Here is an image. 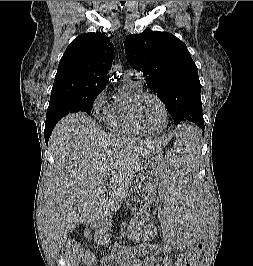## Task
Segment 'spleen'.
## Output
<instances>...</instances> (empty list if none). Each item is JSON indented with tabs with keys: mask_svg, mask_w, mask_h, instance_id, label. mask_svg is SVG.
<instances>
[{
	"mask_svg": "<svg viewBox=\"0 0 253 266\" xmlns=\"http://www.w3.org/2000/svg\"><path fill=\"white\" fill-rule=\"evenodd\" d=\"M170 153L160 160L161 184L155 193L165 199L161 210L160 242L163 248H197L205 229L204 216L212 215L211 207H203L204 190H198L199 161L205 155L204 135L193 130L187 135H173Z\"/></svg>",
	"mask_w": 253,
	"mask_h": 266,
	"instance_id": "3e777b00",
	"label": "spleen"
}]
</instances>
